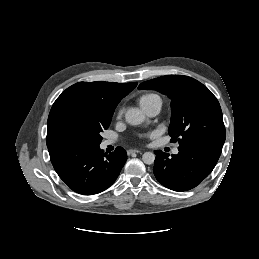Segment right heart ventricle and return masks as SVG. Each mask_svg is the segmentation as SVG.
I'll use <instances>...</instances> for the list:
<instances>
[{
  "label": "right heart ventricle",
  "mask_w": 259,
  "mask_h": 259,
  "mask_svg": "<svg viewBox=\"0 0 259 259\" xmlns=\"http://www.w3.org/2000/svg\"><path fill=\"white\" fill-rule=\"evenodd\" d=\"M154 103L161 104V98L157 94L146 93L139 98V104L143 109Z\"/></svg>",
  "instance_id": "right-heart-ventricle-1"
}]
</instances>
